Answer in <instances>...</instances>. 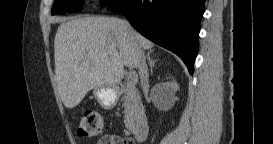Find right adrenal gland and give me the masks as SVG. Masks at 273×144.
<instances>
[{
	"mask_svg": "<svg viewBox=\"0 0 273 144\" xmlns=\"http://www.w3.org/2000/svg\"><path fill=\"white\" fill-rule=\"evenodd\" d=\"M153 52V50H150L148 53H147V60H148V63H149V66H150V73L152 74L153 73V67H154V64L156 63V60H153L151 58V53Z\"/></svg>",
	"mask_w": 273,
	"mask_h": 144,
	"instance_id": "right-adrenal-gland-1",
	"label": "right adrenal gland"
}]
</instances>
